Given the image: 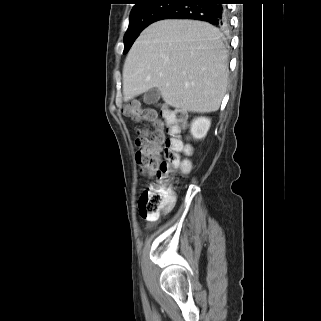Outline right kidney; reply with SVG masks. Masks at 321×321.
Instances as JSON below:
<instances>
[{"mask_svg":"<svg viewBox=\"0 0 321 321\" xmlns=\"http://www.w3.org/2000/svg\"><path fill=\"white\" fill-rule=\"evenodd\" d=\"M211 125V120L206 117L194 119L190 126V133L194 139H202L206 136Z\"/></svg>","mask_w":321,"mask_h":321,"instance_id":"ca27d5eb","label":"right kidney"}]
</instances>
